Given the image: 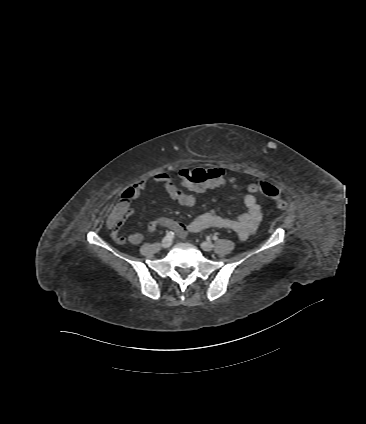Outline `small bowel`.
<instances>
[{
    "mask_svg": "<svg viewBox=\"0 0 366 424\" xmlns=\"http://www.w3.org/2000/svg\"><path fill=\"white\" fill-rule=\"evenodd\" d=\"M215 171L220 172L218 181L211 184L203 189H188L193 192H203L206 189H212L218 187L225 182L224 171L220 168H213ZM156 183L163 185L170 198L176 201L178 204L186 207H192L195 205L196 198L191 192L182 191L176 184L173 183L171 177L167 173H159L154 177ZM229 185L232 189L237 190L239 188L235 178L228 180ZM147 181L145 179L139 180L134 183L128 190L132 191V198H136L145 189ZM251 185V184H250ZM248 185V187L250 186ZM247 187V194L243 198L246 212L237 216L236 218H227L220 215L216 210L203 213L195 217L190 223L183 224L176 219L170 217H159L147 224V231L153 233L157 227H164L172 229L179 237L185 238L189 232L197 233L204 231L208 228H221L231 230L240 239L244 240L250 235L254 234L263 217V212L260 205L257 203L255 192H252ZM127 218L119 217L113 210L107 220V225L112 229V238L116 243L123 244L126 241L133 245H137L142 242L143 235L141 233H133L125 238L121 233V227L123 226Z\"/></svg>",
    "mask_w": 366,
    "mask_h": 424,
    "instance_id": "obj_1",
    "label": "small bowel"
}]
</instances>
